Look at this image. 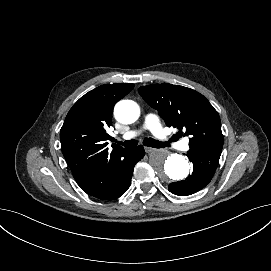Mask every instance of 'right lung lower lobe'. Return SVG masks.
Instances as JSON below:
<instances>
[{"instance_id": "right-lung-lower-lobe-1", "label": "right lung lower lobe", "mask_w": 271, "mask_h": 271, "mask_svg": "<svg viewBox=\"0 0 271 271\" xmlns=\"http://www.w3.org/2000/svg\"><path fill=\"white\" fill-rule=\"evenodd\" d=\"M144 155L141 145L112 151L75 180L82 190L93 197L101 200L116 199L129 188L134 166Z\"/></svg>"}]
</instances>
